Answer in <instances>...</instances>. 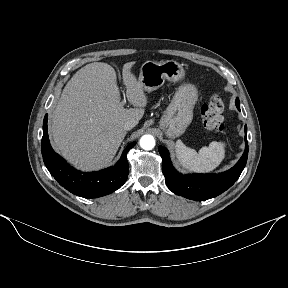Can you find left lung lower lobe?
I'll return each instance as SVG.
<instances>
[{
	"instance_id": "left-lung-lower-lobe-1",
	"label": "left lung lower lobe",
	"mask_w": 288,
	"mask_h": 288,
	"mask_svg": "<svg viewBox=\"0 0 288 288\" xmlns=\"http://www.w3.org/2000/svg\"><path fill=\"white\" fill-rule=\"evenodd\" d=\"M235 104L240 110L239 100H236ZM244 130L247 131V126ZM245 144L243 156L231 169L219 174L188 175L178 173L171 164L168 150L159 146L158 150L163 162V174L168 188L177 195L196 201H203L220 195L235 183L246 165L248 157L246 136Z\"/></svg>"
}]
</instances>
